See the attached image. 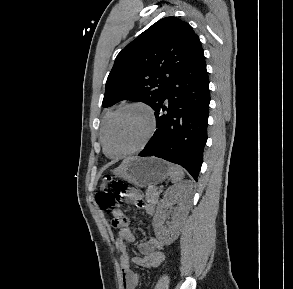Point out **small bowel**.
<instances>
[{"instance_id": "c3829d8e", "label": "small bowel", "mask_w": 293, "mask_h": 289, "mask_svg": "<svg viewBox=\"0 0 293 289\" xmlns=\"http://www.w3.org/2000/svg\"><path fill=\"white\" fill-rule=\"evenodd\" d=\"M129 200L135 205L141 207L145 214L153 216L155 208L151 204H144L141 201L140 195L136 192H131L128 195ZM113 219L124 221L120 225V230L117 234L115 244L121 252V273L124 289H136L139 276L132 270V264L141 267L151 268L159 267L165 260L163 252V243L156 237H151L147 242L137 244L139 255L131 257L127 251V243L135 242V234L133 223L124 217V212L121 209H116L112 212Z\"/></svg>"}]
</instances>
